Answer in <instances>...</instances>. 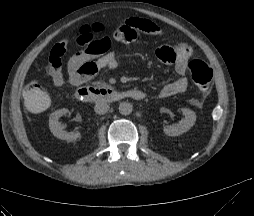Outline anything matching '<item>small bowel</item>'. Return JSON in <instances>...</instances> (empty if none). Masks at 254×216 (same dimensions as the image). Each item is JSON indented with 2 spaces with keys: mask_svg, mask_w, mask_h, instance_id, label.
Here are the masks:
<instances>
[{
  "mask_svg": "<svg viewBox=\"0 0 254 216\" xmlns=\"http://www.w3.org/2000/svg\"><path fill=\"white\" fill-rule=\"evenodd\" d=\"M125 24L128 28L120 27L115 32V39L120 44H127L138 37H161L165 34L160 25L149 20L136 18L126 21ZM68 42V40H64L63 43L55 45L50 53L48 72L55 87H62L66 81L72 86H80L100 70H113L118 67L116 52L110 49V45L103 51L92 46H81L83 49L74 54L67 63L68 79L66 80L62 71V57L65 52L64 45ZM155 54L160 60L172 64L180 76L162 87L159 97L167 98L184 93L188 88V81L184 75L188 60L192 55L191 46L184 41L178 42L175 46L161 45L156 47ZM142 93L144 95V92Z\"/></svg>",
  "mask_w": 254,
  "mask_h": 216,
  "instance_id": "c3829d8e",
  "label": "small bowel"
}]
</instances>
